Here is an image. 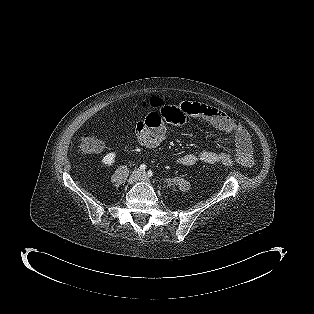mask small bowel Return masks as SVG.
<instances>
[{"mask_svg":"<svg viewBox=\"0 0 314 314\" xmlns=\"http://www.w3.org/2000/svg\"><path fill=\"white\" fill-rule=\"evenodd\" d=\"M151 123L148 116L138 121L136 136L139 143L148 149L158 147L166 138L165 125L190 124L196 118H201L217 130L233 136L236 145V158L244 167L253 164V150L251 139L246 129L235 119L215 107L185 101L182 104L167 103L161 106L158 112H152ZM229 156L227 153H218L209 150L191 152L181 155L177 161L183 166H192L198 162L207 164L221 163V158Z\"/></svg>","mask_w":314,"mask_h":314,"instance_id":"c3829d8e","label":"small bowel"}]
</instances>
